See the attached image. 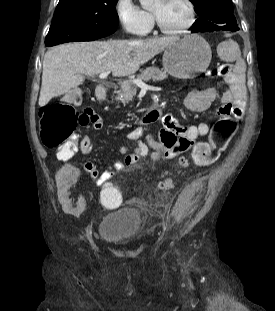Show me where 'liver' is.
<instances>
[{"instance_id":"obj_1","label":"liver","mask_w":275,"mask_h":311,"mask_svg":"<svg viewBox=\"0 0 275 311\" xmlns=\"http://www.w3.org/2000/svg\"><path fill=\"white\" fill-rule=\"evenodd\" d=\"M176 37L76 42L49 50L43 60L39 106L77 88L85 76L111 71L128 76L162 52Z\"/></svg>"}]
</instances>
